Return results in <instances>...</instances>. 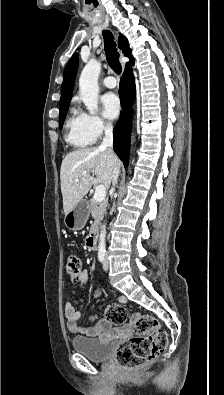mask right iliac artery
I'll use <instances>...</instances> for the list:
<instances>
[{
    "instance_id": "1",
    "label": "right iliac artery",
    "mask_w": 224,
    "mask_h": 395,
    "mask_svg": "<svg viewBox=\"0 0 224 395\" xmlns=\"http://www.w3.org/2000/svg\"><path fill=\"white\" fill-rule=\"evenodd\" d=\"M105 257H106V251L105 250L98 252V259H99V261L101 263H103V261L105 260Z\"/></svg>"
}]
</instances>
